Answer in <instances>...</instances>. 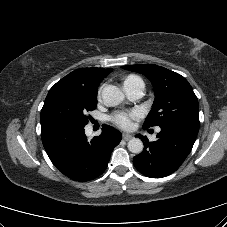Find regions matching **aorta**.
<instances>
[{"label":"aorta","instance_id":"aorta-1","mask_svg":"<svg viewBox=\"0 0 227 227\" xmlns=\"http://www.w3.org/2000/svg\"><path fill=\"white\" fill-rule=\"evenodd\" d=\"M102 99L107 106H116L124 99L123 92L114 85H107L102 90ZM144 145L139 138H132L128 142L130 152L139 154L143 151Z\"/></svg>","mask_w":227,"mask_h":227}]
</instances>
